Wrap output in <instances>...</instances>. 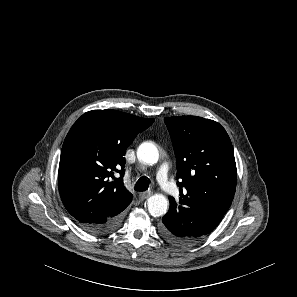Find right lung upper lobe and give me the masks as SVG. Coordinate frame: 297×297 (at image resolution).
Returning a JSON list of instances; mask_svg holds the SVG:
<instances>
[{
    "instance_id": "1",
    "label": "right lung upper lobe",
    "mask_w": 297,
    "mask_h": 297,
    "mask_svg": "<svg viewBox=\"0 0 297 297\" xmlns=\"http://www.w3.org/2000/svg\"><path fill=\"white\" fill-rule=\"evenodd\" d=\"M153 118L116 110L83 114L68 132L61 151L58 184L67 211L82 227L121 213L132 201L122 181L125 152ZM114 172L120 177L114 178Z\"/></svg>"
}]
</instances>
